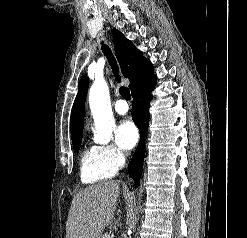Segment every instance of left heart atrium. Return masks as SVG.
Segmentation results:
<instances>
[{
    "label": "left heart atrium",
    "mask_w": 247,
    "mask_h": 238,
    "mask_svg": "<svg viewBox=\"0 0 247 238\" xmlns=\"http://www.w3.org/2000/svg\"><path fill=\"white\" fill-rule=\"evenodd\" d=\"M115 139L121 149H132L139 139L138 130L134 123L130 120L122 121L115 130Z\"/></svg>",
    "instance_id": "1"
}]
</instances>
